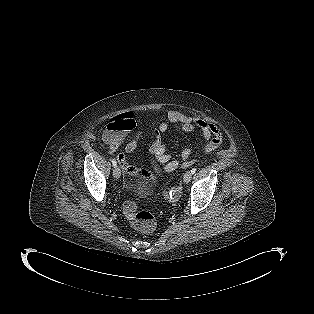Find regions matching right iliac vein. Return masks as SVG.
Listing matches in <instances>:
<instances>
[{
  "label": "right iliac vein",
  "instance_id": "obj_1",
  "mask_svg": "<svg viewBox=\"0 0 314 314\" xmlns=\"http://www.w3.org/2000/svg\"><path fill=\"white\" fill-rule=\"evenodd\" d=\"M113 176H114L115 179H119V178H120V176H121V171H120V168H119V167L116 166V167L113 169Z\"/></svg>",
  "mask_w": 314,
  "mask_h": 314
}]
</instances>
